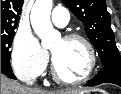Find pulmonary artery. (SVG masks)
I'll use <instances>...</instances> for the list:
<instances>
[{
  "mask_svg": "<svg viewBox=\"0 0 121 94\" xmlns=\"http://www.w3.org/2000/svg\"><path fill=\"white\" fill-rule=\"evenodd\" d=\"M52 21L59 27H64L69 21V12L64 7H55L52 11Z\"/></svg>",
  "mask_w": 121,
  "mask_h": 94,
  "instance_id": "e3ab8cb5",
  "label": "pulmonary artery"
}]
</instances>
